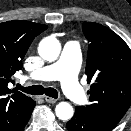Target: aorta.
<instances>
[{"mask_svg":"<svg viewBox=\"0 0 131 131\" xmlns=\"http://www.w3.org/2000/svg\"><path fill=\"white\" fill-rule=\"evenodd\" d=\"M61 51L60 42L52 36L44 38L38 48L41 58L48 62L55 61ZM56 116L61 120H69L72 118L74 111L72 106L67 102H60L55 108Z\"/></svg>","mask_w":131,"mask_h":131,"instance_id":"762f6f07","label":"aorta"}]
</instances>
